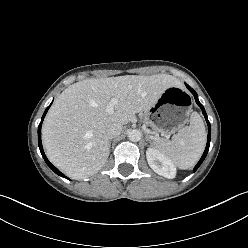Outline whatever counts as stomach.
<instances>
[{
    "label": "stomach",
    "mask_w": 248,
    "mask_h": 248,
    "mask_svg": "<svg viewBox=\"0 0 248 248\" xmlns=\"http://www.w3.org/2000/svg\"><path fill=\"white\" fill-rule=\"evenodd\" d=\"M191 109V99L188 93L180 86L167 88L157 102L145 111V123L155 133L166 136L175 133L188 122ZM155 140H167L156 138Z\"/></svg>",
    "instance_id": "obj_1"
}]
</instances>
